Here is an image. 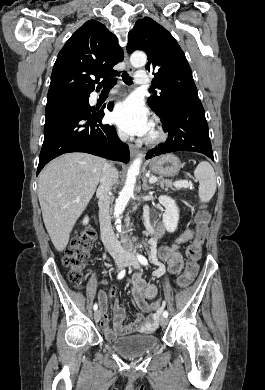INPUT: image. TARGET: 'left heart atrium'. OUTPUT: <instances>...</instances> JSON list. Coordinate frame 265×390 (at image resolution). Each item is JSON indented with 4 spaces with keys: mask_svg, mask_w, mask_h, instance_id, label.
Here are the masks:
<instances>
[{
    "mask_svg": "<svg viewBox=\"0 0 265 390\" xmlns=\"http://www.w3.org/2000/svg\"><path fill=\"white\" fill-rule=\"evenodd\" d=\"M112 121L128 135L145 136L152 129L147 109L136 98L118 103L112 112Z\"/></svg>",
    "mask_w": 265,
    "mask_h": 390,
    "instance_id": "1",
    "label": "left heart atrium"
}]
</instances>
